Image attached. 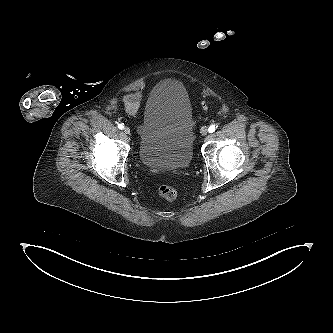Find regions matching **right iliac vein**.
<instances>
[{"mask_svg": "<svg viewBox=\"0 0 333 333\" xmlns=\"http://www.w3.org/2000/svg\"><path fill=\"white\" fill-rule=\"evenodd\" d=\"M124 132H125V134H129L130 133V128L126 126L124 128Z\"/></svg>", "mask_w": 333, "mask_h": 333, "instance_id": "63e3f726", "label": "right iliac vein"}]
</instances>
